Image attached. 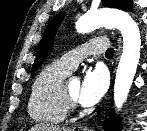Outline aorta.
Returning a JSON list of instances; mask_svg holds the SVG:
<instances>
[{"instance_id":"762f6f07","label":"aorta","mask_w":147,"mask_h":131,"mask_svg":"<svg viewBox=\"0 0 147 131\" xmlns=\"http://www.w3.org/2000/svg\"><path fill=\"white\" fill-rule=\"evenodd\" d=\"M102 26L117 28L123 37V51L114 84V102L120 109L127 99L139 63L140 31L129 14L114 9L84 14L76 22V29L80 33H87Z\"/></svg>"}]
</instances>
